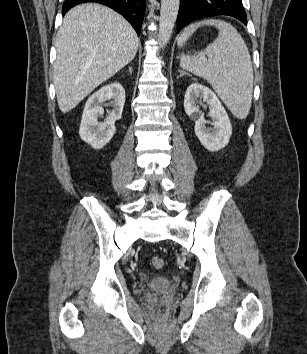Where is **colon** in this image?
<instances>
[{
	"label": "colon",
	"mask_w": 307,
	"mask_h": 354,
	"mask_svg": "<svg viewBox=\"0 0 307 354\" xmlns=\"http://www.w3.org/2000/svg\"><path fill=\"white\" fill-rule=\"evenodd\" d=\"M151 263H152V266L157 270L161 269L164 265L163 259L158 256L153 257L151 260Z\"/></svg>",
	"instance_id": "colon-1"
}]
</instances>
